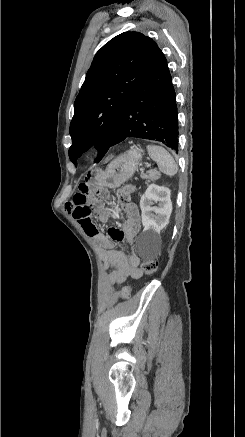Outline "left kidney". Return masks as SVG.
<instances>
[{
	"instance_id": "5707ae66",
	"label": "left kidney",
	"mask_w": 245,
	"mask_h": 437,
	"mask_svg": "<svg viewBox=\"0 0 245 437\" xmlns=\"http://www.w3.org/2000/svg\"><path fill=\"white\" fill-rule=\"evenodd\" d=\"M170 196L169 188L151 184L141 197L143 231L147 236L156 237L168 225L172 213ZM158 202V207L153 206Z\"/></svg>"
}]
</instances>
